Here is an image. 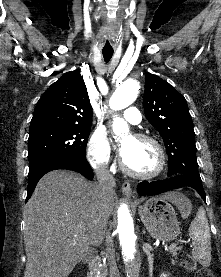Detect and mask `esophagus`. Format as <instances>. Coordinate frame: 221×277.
Returning a JSON list of instances; mask_svg holds the SVG:
<instances>
[{
	"label": "esophagus",
	"instance_id": "obj_1",
	"mask_svg": "<svg viewBox=\"0 0 221 277\" xmlns=\"http://www.w3.org/2000/svg\"><path fill=\"white\" fill-rule=\"evenodd\" d=\"M121 189H122V192L124 195H126L128 197L132 196V189H131L130 183L128 181H126L122 184Z\"/></svg>",
	"mask_w": 221,
	"mask_h": 277
}]
</instances>
